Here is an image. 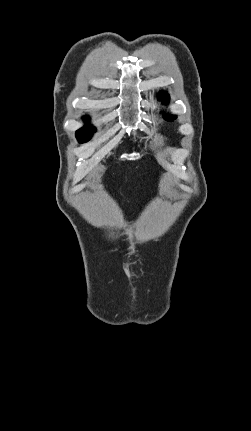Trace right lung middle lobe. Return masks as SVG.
I'll use <instances>...</instances> for the list:
<instances>
[{
  "instance_id": "obj_1",
  "label": "right lung middle lobe",
  "mask_w": 251,
  "mask_h": 431,
  "mask_svg": "<svg viewBox=\"0 0 251 431\" xmlns=\"http://www.w3.org/2000/svg\"><path fill=\"white\" fill-rule=\"evenodd\" d=\"M85 120H88V117H85ZM94 131H95L94 127H92L90 125L85 126V127L76 131V138L81 143L87 142L91 138L92 133Z\"/></svg>"
}]
</instances>
